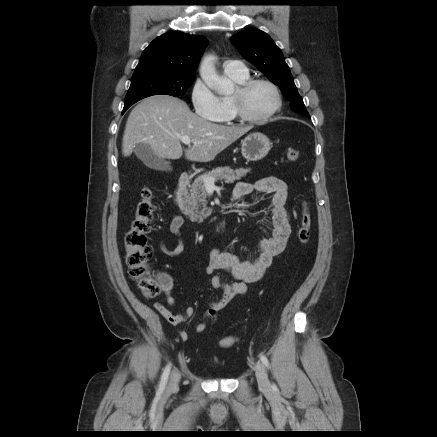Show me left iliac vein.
I'll return each instance as SVG.
<instances>
[{"label": "left iliac vein", "instance_id": "1", "mask_svg": "<svg viewBox=\"0 0 437 437\" xmlns=\"http://www.w3.org/2000/svg\"><path fill=\"white\" fill-rule=\"evenodd\" d=\"M255 374L257 378V382L259 385V388L266 393L271 392V384L268 379L267 371L265 369V366L261 362H257L255 366Z\"/></svg>", "mask_w": 437, "mask_h": 437}]
</instances>
